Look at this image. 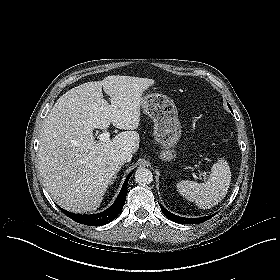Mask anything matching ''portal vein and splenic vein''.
Returning <instances> with one entry per match:
<instances>
[{"instance_id":"1","label":"portal vein and splenic vein","mask_w":280,"mask_h":280,"mask_svg":"<svg viewBox=\"0 0 280 280\" xmlns=\"http://www.w3.org/2000/svg\"><path fill=\"white\" fill-rule=\"evenodd\" d=\"M98 139L101 141V142H108L110 140V133L109 132H104L102 134H100L98 136ZM193 177L194 178H197V176L195 174H193Z\"/></svg>"}]
</instances>
